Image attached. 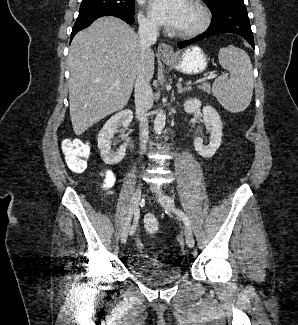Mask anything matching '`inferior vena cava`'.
<instances>
[{
  "mask_svg": "<svg viewBox=\"0 0 298 325\" xmlns=\"http://www.w3.org/2000/svg\"><path fill=\"white\" fill-rule=\"evenodd\" d=\"M158 34L159 28H157L153 22H149V20H145V18H141V20H139L138 36L140 38L141 58L137 70L134 88L135 108L136 114L139 118L141 154H144L145 148L147 146L149 138L147 116L149 114L148 110H150V108L153 106V90L150 84V80H148L149 72L148 70H145V60L148 56V50L151 48V44H155Z\"/></svg>",
  "mask_w": 298,
  "mask_h": 325,
  "instance_id": "1",
  "label": "inferior vena cava"
}]
</instances>
